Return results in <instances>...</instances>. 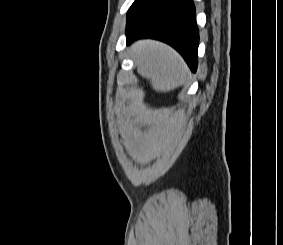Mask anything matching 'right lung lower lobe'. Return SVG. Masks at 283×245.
Segmentation results:
<instances>
[{
  "label": "right lung lower lobe",
  "instance_id": "right-lung-lower-lobe-1",
  "mask_svg": "<svg viewBox=\"0 0 283 245\" xmlns=\"http://www.w3.org/2000/svg\"><path fill=\"white\" fill-rule=\"evenodd\" d=\"M127 45L138 38H153L174 47L190 69H197L199 32L192 0H153L127 21Z\"/></svg>",
  "mask_w": 283,
  "mask_h": 245
}]
</instances>
